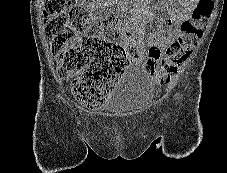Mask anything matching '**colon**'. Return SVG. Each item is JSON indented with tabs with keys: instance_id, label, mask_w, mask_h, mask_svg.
Returning a JSON list of instances; mask_svg holds the SVG:
<instances>
[{
	"instance_id": "colon-1",
	"label": "colon",
	"mask_w": 227,
	"mask_h": 173,
	"mask_svg": "<svg viewBox=\"0 0 227 173\" xmlns=\"http://www.w3.org/2000/svg\"><path fill=\"white\" fill-rule=\"evenodd\" d=\"M77 0H42L43 18L57 72L70 80L72 93L82 104L98 106L116 81L130 54L106 39L111 20H96ZM214 0H199L192 19L180 26L179 37L166 49L151 47L145 67L161 84H167L178 66L192 53L207 28Z\"/></svg>"
}]
</instances>
